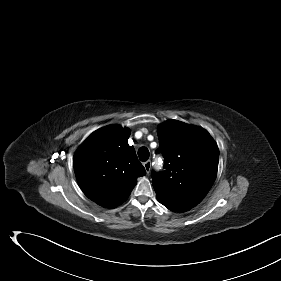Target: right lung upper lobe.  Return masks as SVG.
Returning <instances> with one entry per match:
<instances>
[{"instance_id": "cb5924a9", "label": "right lung upper lobe", "mask_w": 281, "mask_h": 281, "mask_svg": "<svg viewBox=\"0 0 281 281\" xmlns=\"http://www.w3.org/2000/svg\"><path fill=\"white\" fill-rule=\"evenodd\" d=\"M130 130L108 125L93 132L78 148L73 166L84 194L98 205L115 208L123 203L146 174L128 144Z\"/></svg>"}]
</instances>
